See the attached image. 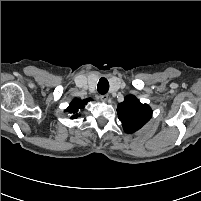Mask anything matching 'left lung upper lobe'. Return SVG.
<instances>
[{
  "label": "left lung upper lobe",
  "instance_id": "5c2ea615",
  "mask_svg": "<svg viewBox=\"0 0 201 201\" xmlns=\"http://www.w3.org/2000/svg\"><path fill=\"white\" fill-rule=\"evenodd\" d=\"M118 118L126 133H134L142 128L152 117L148 104H142L135 96L128 95L118 104Z\"/></svg>",
  "mask_w": 201,
  "mask_h": 201
}]
</instances>
